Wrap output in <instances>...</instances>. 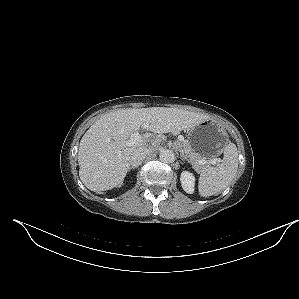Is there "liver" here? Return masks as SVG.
<instances>
[{
	"mask_svg": "<svg viewBox=\"0 0 299 299\" xmlns=\"http://www.w3.org/2000/svg\"><path fill=\"white\" fill-rule=\"evenodd\" d=\"M207 115L191 111L150 107L121 109L101 116L83 135L78 151L79 177L94 192L120 185L130 166L132 153L149 148L150 133L128 145L130 136L140 128L153 133H168L190 129L208 119Z\"/></svg>",
	"mask_w": 299,
	"mask_h": 299,
	"instance_id": "6515ba94",
	"label": "liver"
}]
</instances>
